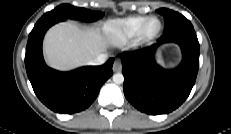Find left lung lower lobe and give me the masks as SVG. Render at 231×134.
Returning <instances> with one entry per match:
<instances>
[{
  "label": "left lung lower lobe",
  "instance_id": "obj_1",
  "mask_svg": "<svg viewBox=\"0 0 231 134\" xmlns=\"http://www.w3.org/2000/svg\"><path fill=\"white\" fill-rule=\"evenodd\" d=\"M163 42L177 43L183 60L173 71L155 64L153 54ZM124 94L138 110L152 115L167 114L189 96L199 68V42L193 27L164 34L151 46L122 53Z\"/></svg>",
  "mask_w": 231,
  "mask_h": 134
}]
</instances>
